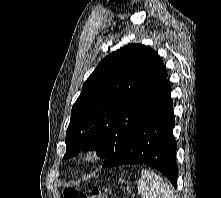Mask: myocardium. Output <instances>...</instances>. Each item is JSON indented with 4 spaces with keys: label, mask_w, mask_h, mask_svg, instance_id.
<instances>
[{
    "label": "myocardium",
    "mask_w": 221,
    "mask_h": 198,
    "mask_svg": "<svg viewBox=\"0 0 221 198\" xmlns=\"http://www.w3.org/2000/svg\"><path fill=\"white\" fill-rule=\"evenodd\" d=\"M100 158V150L96 147H87L80 152V160L85 165L96 163Z\"/></svg>",
    "instance_id": "myocardium-1"
}]
</instances>
